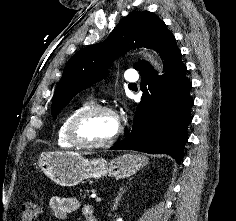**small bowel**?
<instances>
[{
	"instance_id": "obj_1",
	"label": "small bowel",
	"mask_w": 236,
	"mask_h": 221,
	"mask_svg": "<svg viewBox=\"0 0 236 221\" xmlns=\"http://www.w3.org/2000/svg\"><path fill=\"white\" fill-rule=\"evenodd\" d=\"M80 202L75 197L53 196L49 201V208L52 216L58 220L64 221L68 215L78 210ZM84 215L89 219L93 215V207L86 205L83 208Z\"/></svg>"
}]
</instances>
